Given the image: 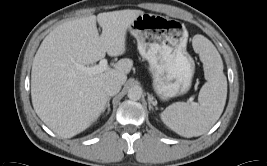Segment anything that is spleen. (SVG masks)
Listing matches in <instances>:
<instances>
[{"label": "spleen", "instance_id": "1", "mask_svg": "<svg viewBox=\"0 0 267 166\" xmlns=\"http://www.w3.org/2000/svg\"><path fill=\"white\" fill-rule=\"evenodd\" d=\"M194 47L204 64L207 80L199 92L198 103L177 102L160 114L166 126L187 138L206 133L217 122L227 97V79L217 49L204 37L195 39Z\"/></svg>", "mask_w": 267, "mask_h": 166}]
</instances>
